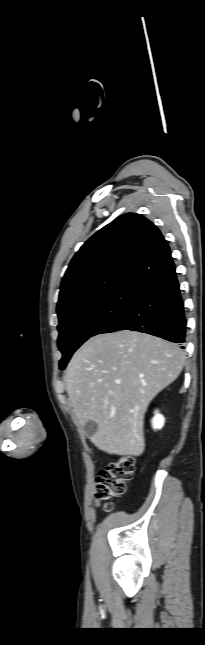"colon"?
<instances>
[{"label":"colon","instance_id":"obj_1","mask_svg":"<svg viewBox=\"0 0 205 645\" xmlns=\"http://www.w3.org/2000/svg\"><path fill=\"white\" fill-rule=\"evenodd\" d=\"M135 470V460L130 456H120L108 467L100 471L96 480V498L103 502L104 509L113 508L109 500L125 493L126 483Z\"/></svg>","mask_w":205,"mask_h":645}]
</instances>
